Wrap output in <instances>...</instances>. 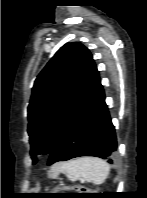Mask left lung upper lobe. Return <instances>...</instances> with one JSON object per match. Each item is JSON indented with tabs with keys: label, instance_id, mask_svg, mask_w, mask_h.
<instances>
[{
	"label": "left lung upper lobe",
	"instance_id": "1",
	"mask_svg": "<svg viewBox=\"0 0 147 198\" xmlns=\"http://www.w3.org/2000/svg\"><path fill=\"white\" fill-rule=\"evenodd\" d=\"M98 78L89 50L79 42L61 47L35 80L28 106L33 164L50 154Z\"/></svg>",
	"mask_w": 147,
	"mask_h": 198
}]
</instances>
